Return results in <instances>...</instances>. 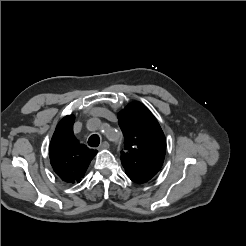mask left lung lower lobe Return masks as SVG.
Masks as SVG:
<instances>
[{
  "label": "left lung lower lobe",
  "mask_w": 246,
  "mask_h": 246,
  "mask_svg": "<svg viewBox=\"0 0 246 246\" xmlns=\"http://www.w3.org/2000/svg\"><path fill=\"white\" fill-rule=\"evenodd\" d=\"M130 179H131L133 182H135V183H143V182H141L140 180L134 179V178H132V177H130Z\"/></svg>",
  "instance_id": "left-lung-lower-lobe-1"
}]
</instances>
